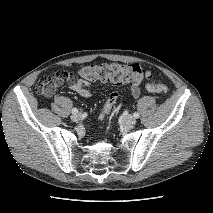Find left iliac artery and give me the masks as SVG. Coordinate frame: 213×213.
Instances as JSON below:
<instances>
[{"label":"left iliac artery","mask_w":213,"mask_h":213,"mask_svg":"<svg viewBox=\"0 0 213 213\" xmlns=\"http://www.w3.org/2000/svg\"><path fill=\"white\" fill-rule=\"evenodd\" d=\"M133 116H134L135 118H139V117H140V114H139L138 112H135V113H133Z\"/></svg>","instance_id":"1"}]
</instances>
